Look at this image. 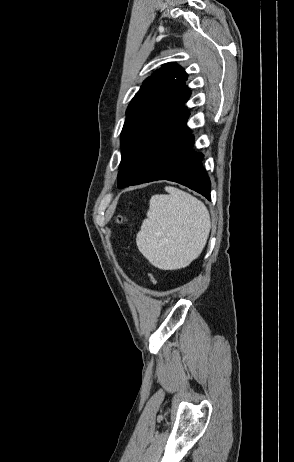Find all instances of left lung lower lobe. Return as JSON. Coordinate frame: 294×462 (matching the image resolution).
Returning a JSON list of instances; mask_svg holds the SVG:
<instances>
[{
    "label": "left lung lower lobe",
    "instance_id": "left-lung-lower-lobe-1",
    "mask_svg": "<svg viewBox=\"0 0 294 462\" xmlns=\"http://www.w3.org/2000/svg\"><path fill=\"white\" fill-rule=\"evenodd\" d=\"M189 97L186 89L179 100L153 109L120 167L118 188L169 180L211 200L203 155L193 152V135L186 126L189 112L183 104Z\"/></svg>",
    "mask_w": 294,
    "mask_h": 462
}]
</instances>
